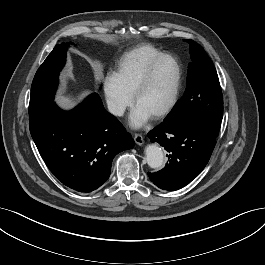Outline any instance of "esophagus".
I'll use <instances>...</instances> for the list:
<instances>
[{
    "mask_svg": "<svg viewBox=\"0 0 265 265\" xmlns=\"http://www.w3.org/2000/svg\"><path fill=\"white\" fill-rule=\"evenodd\" d=\"M134 141L137 145H143V143H144L143 136L141 134H135L134 135Z\"/></svg>",
    "mask_w": 265,
    "mask_h": 265,
    "instance_id": "obj_1",
    "label": "esophagus"
}]
</instances>
